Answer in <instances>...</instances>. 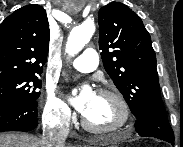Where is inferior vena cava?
<instances>
[{"instance_id": "602c4592", "label": "inferior vena cava", "mask_w": 183, "mask_h": 147, "mask_svg": "<svg viewBox=\"0 0 183 147\" xmlns=\"http://www.w3.org/2000/svg\"><path fill=\"white\" fill-rule=\"evenodd\" d=\"M68 126L46 127L43 131L42 144L44 147H63L68 135Z\"/></svg>"}]
</instances>
